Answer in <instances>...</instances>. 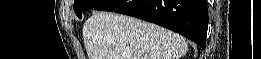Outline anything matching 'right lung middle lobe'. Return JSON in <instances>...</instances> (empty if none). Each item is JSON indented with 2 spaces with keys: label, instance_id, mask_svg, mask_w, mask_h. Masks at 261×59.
<instances>
[{
  "label": "right lung middle lobe",
  "instance_id": "dd1d6c3e",
  "mask_svg": "<svg viewBox=\"0 0 261 59\" xmlns=\"http://www.w3.org/2000/svg\"><path fill=\"white\" fill-rule=\"evenodd\" d=\"M105 1L106 0H75L73 8H74L76 15L79 18H81L83 11L95 8Z\"/></svg>",
  "mask_w": 261,
  "mask_h": 59
}]
</instances>
